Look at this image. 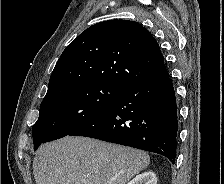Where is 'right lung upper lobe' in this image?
I'll return each instance as SVG.
<instances>
[{
  "instance_id": "obj_1",
  "label": "right lung upper lobe",
  "mask_w": 224,
  "mask_h": 184,
  "mask_svg": "<svg viewBox=\"0 0 224 184\" xmlns=\"http://www.w3.org/2000/svg\"><path fill=\"white\" fill-rule=\"evenodd\" d=\"M168 74L152 34L129 20H108L83 31L62 52L50 76L47 99L83 82L125 86Z\"/></svg>"
}]
</instances>
